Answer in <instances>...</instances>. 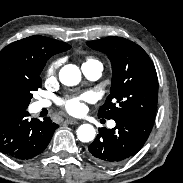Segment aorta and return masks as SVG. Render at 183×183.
Wrapping results in <instances>:
<instances>
[{"mask_svg": "<svg viewBox=\"0 0 183 183\" xmlns=\"http://www.w3.org/2000/svg\"><path fill=\"white\" fill-rule=\"evenodd\" d=\"M60 82L66 86H75L81 81V71L74 64L63 66L59 72ZM96 131L91 124H82L77 130L79 141L88 143L95 139Z\"/></svg>", "mask_w": 183, "mask_h": 183, "instance_id": "aorta-1", "label": "aorta"}]
</instances>
